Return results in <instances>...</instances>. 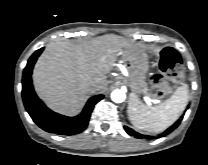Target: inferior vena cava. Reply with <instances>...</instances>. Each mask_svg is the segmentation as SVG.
I'll use <instances>...</instances> for the list:
<instances>
[{
  "label": "inferior vena cava",
  "instance_id": "obj_1",
  "mask_svg": "<svg viewBox=\"0 0 208 165\" xmlns=\"http://www.w3.org/2000/svg\"><path fill=\"white\" fill-rule=\"evenodd\" d=\"M88 90L93 91V90H97V86L96 85H89L88 86Z\"/></svg>",
  "mask_w": 208,
  "mask_h": 165
}]
</instances>
